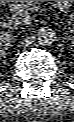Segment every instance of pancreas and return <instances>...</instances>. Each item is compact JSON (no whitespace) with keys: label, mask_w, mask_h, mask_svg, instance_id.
Segmentation results:
<instances>
[{"label":"pancreas","mask_w":74,"mask_h":122,"mask_svg":"<svg viewBox=\"0 0 74 122\" xmlns=\"http://www.w3.org/2000/svg\"><path fill=\"white\" fill-rule=\"evenodd\" d=\"M15 8L33 9L38 1H10Z\"/></svg>","instance_id":"pancreas-1"}]
</instances>
